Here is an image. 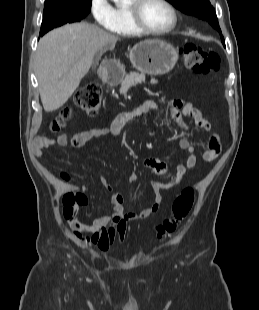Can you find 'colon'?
<instances>
[{
    "label": "colon",
    "instance_id": "obj_1",
    "mask_svg": "<svg viewBox=\"0 0 259 310\" xmlns=\"http://www.w3.org/2000/svg\"><path fill=\"white\" fill-rule=\"evenodd\" d=\"M180 53L185 67L195 73L210 74L218 71L220 61L218 56L199 45L187 43L180 47ZM102 100L101 88L91 83L80 88L75 94V106L84 114L94 117L99 113ZM60 120L52 123V129L58 130ZM195 200L192 187H186L172 204V215L160 224L155 231L157 237L173 233L179 223L188 215ZM87 201L83 193H66L62 199V214L68 223H72L78 208Z\"/></svg>",
    "mask_w": 259,
    "mask_h": 310
}]
</instances>
